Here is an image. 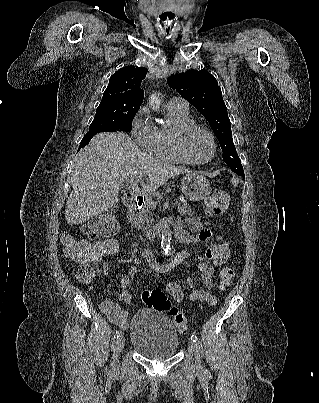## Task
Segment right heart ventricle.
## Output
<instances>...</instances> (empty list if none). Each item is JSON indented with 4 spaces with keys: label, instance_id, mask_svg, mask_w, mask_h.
<instances>
[{
    "label": "right heart ventricle",
    "instance_id": "e07e8e85",
    "mask_svg": "<svg viewBox=\"0 0 319 403\" xmlns=\"http://www.w3.org/2000/svg\"><path fill=\"white\" fill-rule=\"evenodd\" d=\"M169 126L156 127V139L153 149L154 155L164 161L172 163H188L180 157L176 147L174 136L176 130L189 122H192L188 110L167 107Z\"/></svg>",
    "mask_w": 319,
    "mask_h": 403
}]
</instances>
